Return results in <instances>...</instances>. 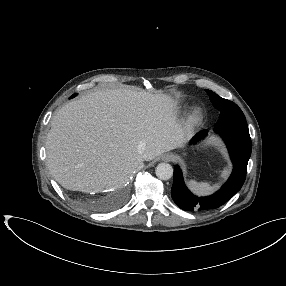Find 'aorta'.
<instances>
[{"mask_svg": "<svg viewBox=\"0 0 286 286\" xmlns=\"http://www.w3.org/2000/svg\"><path fill=\"white\" fill-rule=\"evenodd\" d=\"M156 176L161 180H168L173 176V167L168 163H160L155 169Z\"/></svg>", "mask_w": 286, "mask_h": 286, "instance_id": "obj_1", "label": "aorta"}]
</instances>
